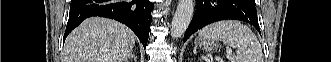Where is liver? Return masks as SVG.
Segmentation results:
<instances>
[{
  "mask_svg": "<svg viewBox=\"0 0 331 62\" xmlns=\"http://www.w3.org/2000/svg\"><path fill=\"white\" fill-rule=\"evenodd\" d=\"M135 41L136 35L120 22L88 18L67 37L63 62H124Z\"/></svg>",
  "mask_w": 331,
  "mask_h": 62,
  "instance_id": "1",
  "label": "liver"
}]
</instances>
